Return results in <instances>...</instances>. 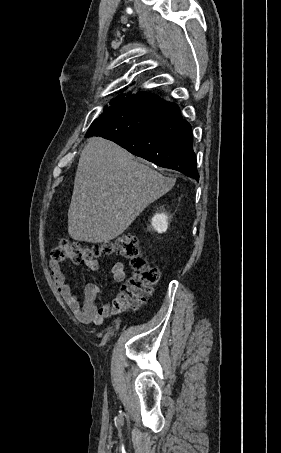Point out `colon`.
Listing matches in <instances>:
<instances>
[{
  "label": "colon",
  "mask_w": 281,
  "mask_h": 453,
  "mask_svg": "<svg viewBox=\"0 0 281 453\" xmlns=\"http://www.w3.org/2000/svg\"><path fill=\"white\" fill-rule=\"evenodd\" d=\"M120 257L130 262L132 275L125 281L119 294L116 309L120 310L147 294L152 284L159 279L157 269L149 267L136 238H116L90 247L87 243L71 238H62L52 252L54 262L70 259L72 262H93L97 258Z\"/></svg>",
  "instance_id": "5ec220e1"
}]
</instances>
